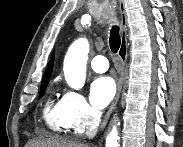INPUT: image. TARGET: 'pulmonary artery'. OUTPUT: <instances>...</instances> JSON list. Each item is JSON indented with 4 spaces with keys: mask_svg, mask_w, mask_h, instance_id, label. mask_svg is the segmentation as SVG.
I'll return each mask as SVG.
<instances>
[{
    "mask_svg": "<svg viewBox=\"0 0 183 147\" xmlns=\"http://www.w3.org/2000/svg\"><path fill=\"white\" fill-rule=\"evenodd\" d=\"M91 68L97 73H103L108 70L109 63L104 56H96L90 62Z\"/></svg>",
    "mask_w": 183,
    "mask_h": 147,
    "instance_id": "pulmonary-artery-1",
    "label": "pulmonary artery"
}]
</instances>
